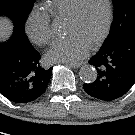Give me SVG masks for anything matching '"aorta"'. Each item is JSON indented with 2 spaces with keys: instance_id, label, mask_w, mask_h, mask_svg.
I'll return each instance as SVG.
<instances>
[{
  "instance_id": "aorta-1",
  "label": "aorta",
  "mask_w": 135,
  "mask_h": 135,
  "mask_svg": "<svg viewBox=\"0 0 135 135\" xmlns=\"http://www.w3.org/2000/svg\"><path fill=\"white\" fill-rule=\"evenodd\" d=\"M79 75L85 83H93L97 79V71L91 65H83L79 70Z\"/></svg>"
}]
</instances>
